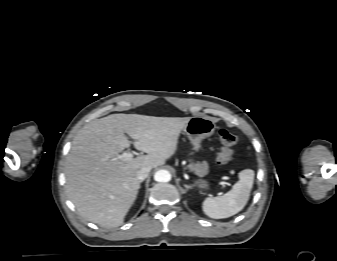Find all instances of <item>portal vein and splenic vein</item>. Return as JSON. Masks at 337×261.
<instances>
[{"instance_id":"18ae733b","label":"portal vein and splenic vein","mask_w":337,"mask_h":261,"mask_svg":"<svg viewBox=\"0 0 337 261\" xmlns=\"http://www.w3.org/2000/svg\"><path fill=\"white\" fill-rule=\"evenodd\" d=\"M117 159L122 160V161H130L133 159V153L126 152L121 155H117Z\"/></svg>"}]
</instances>
